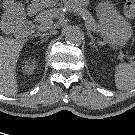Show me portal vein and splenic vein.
<instances>
[{"label": "portal vein and splenic vein", "mask_w": 135, "mask_h": 135, "mask_svg": "<svg viewBox=\"0 0 135 135\" xmlns=\"http://www.w3.org/2000/svg\"><path fill=\"white\" fill-rule=\"evenodd\" d=\"M39 29H40V30H46V29H47V26H41V25H40V26H39Z\"/></svg>", "instance_id": "obj_1"}]
</instances>
